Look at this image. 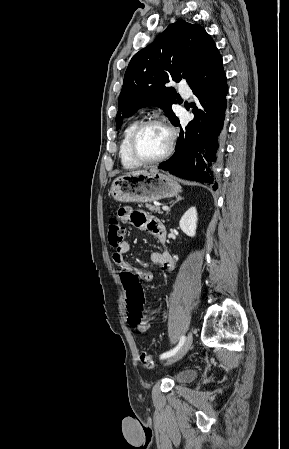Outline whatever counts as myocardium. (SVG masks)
I'll return each mask as SVG.
<instances>
[{"mask_svg": "<svg viewBox=\"0 0 289 449\" xmlns=\"http://www.w3.org/2000/svg\"><path fill=\"white\" fill-rule=\"evenodd\" d=\"M150 125L162 126L168 133L169 142L167 149L161 156L154 159H143L142 157L139 156L137 152V139L142 130ZM176 138L177 136L175 129L164 117L161 116L150 117L148 119L139 122L134 131L132 132L129 143L131 156L140 165H150L162 162L173 153L176 145Z\"/></svg>", "mask_w": 289, "mask_h": 449, "instance_id": "f54148a6", "label": "myocardium"}]
</instances>
